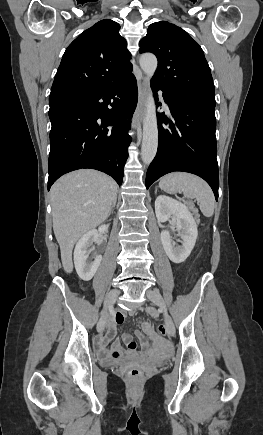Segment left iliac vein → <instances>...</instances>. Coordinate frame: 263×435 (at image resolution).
Returning a JSON list of instances; mask_svg holds the SVG:
<instances>
[{
  "instance_id": "4c4485c4",
  "label": "left iliac vein",
  "mask_w": 263,
  "mask_h": 435,
  "mask_svg": "<svg viewBox=\"0 0 263 435\" xmlns=\"http://www.w3.org/2000/svg\"><path fill=\"white\" fill-rule=\"evenodd\" d=\"M146 296L151 302H153L155 305H157L160 308V311L164 314V317H165V324H166L167 333L170 336H174L175 326L167 314L166 305H165L164 299L161 296V294L155 290H148L146 292Z\"/></svg>"
}]
</instances>
